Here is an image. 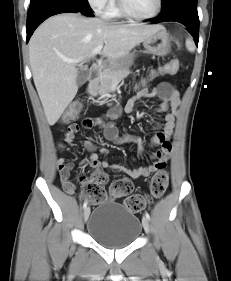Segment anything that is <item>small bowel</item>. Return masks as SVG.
Here are the masks:
<instances>
[{"instance_id":"1","label":"small bowel","mask_w":231,"mask_h":281,"mask_svg":"<svg viewBox=\"0 0 231 281\" xmlns=\"http://www.w3.org/2000/svg\"><path fill=\"white\" fill-rule=\"evenodd\" d=\"M158 99V110L164 112V116L161 123V130L158 131L153 137V144L159 147V151L156 154V161L148 166H136L132 169H127L119 165L110 164L107 161L100 160L99 156L95 153L96 146L89 140L84 142V148L91 154L87 160V164L94 169L108 168L123 172L130 178L136 179L139 177H146L150 174L162 170L171 157L172 144L170 139L173 134L175 119L178 115V108L180 105V95L174 86L167 81H161L154 89L148 87L140 90L132 99V102L144 99ZM119 112V108H113L110 111L111 117H115ZM93 125L104 127V136L107 140L114 143H122L125 139L120 137L117 129L112 124L103 125L100 120L93 121L90 118H86L82 121L84 128H91ZM79 124H71L65 133V142L70 146H76L75 135L79 131ZM108 151L102 150L103 154ZM73 168V164L66 162L64 158L57 160V169L60 175V180L64 191L68 194L75 193V184L70 178V172ZM79 182L85 185L88 182L87 177L80 176Z\"/></svg>"}]
</instances>
